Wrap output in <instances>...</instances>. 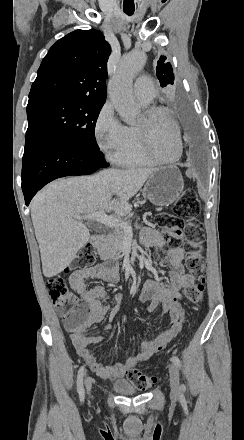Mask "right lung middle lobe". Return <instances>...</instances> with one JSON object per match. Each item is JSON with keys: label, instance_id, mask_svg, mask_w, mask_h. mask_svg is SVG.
I'll return each instance as SVG.
<instances>
[{"label": "right lung middle lobe", "instance_id": "dd1d6c3e", "mask_svg": "<svg viewBox=\"0 0 244 440\" xmlns=\"http://www.w3.org/2000/svg\"><path fill=\"white\" fill-rule=\"evenodd\" d=\"M104 102L87 98L29 100L26 134H52L89 149H99L94 132Z\"/></svg>", "mask_w": 244, "mask_h": 440}]
</instances>
